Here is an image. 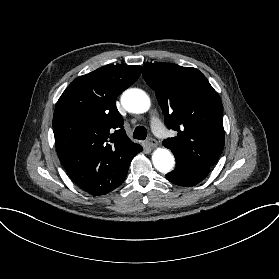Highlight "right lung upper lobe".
Returning <instances> with one entry per match:
<instances>
[{
    "label": "right lung upper lobe",
    "instance_id": "obj_1",
    "mask_svg": "<svg viewBox=\"0 0 279 279\" xmlns=\"http://www.w3.org/2000/svg\"><path fill=\"white\" fill-rule=\"evenodd\" d=\"M140 74V66H103L73 80L56 104L53 131L59 159L70 178L92 195L122 184L142 150L127 137L115 104Z\"/></svg>",
    "mask_w": 279,
    "mask_h": 279
}]
</instances>
